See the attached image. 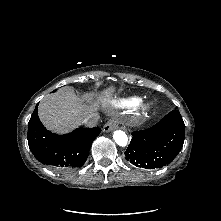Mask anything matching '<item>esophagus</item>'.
<instances>
[{"label":"esophagus","mask_w":221,"mask_h":221,"mask_svg":"<svg viewBox=\"0 0 221 221\" xmlns=\"http://www.w3.org/2000/svg\"><path fill=\"white\" fill-rule=\"evenodd\" d=\"M118 128V121L115 118H111L108 122L103 126L104 132H110Z\"/></svg>","instance_id":"obj_1"}]
</instances>
